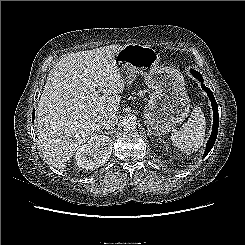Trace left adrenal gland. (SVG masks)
I'll return each mask as SVG.
<instances>
[{
	"label": "left adrenal gland",
	"instance_id": "left-adrenal-gland-1",
	"mask_svg": "<svg viewBox=\"0 0 245 245\" xmlns=\"http://www.w3.org/2000/svg\"><path fill=\"white\" fill-rule=\"evenodd\" d=\"M147 132L150 133V129H149V126L147 125Z\"/></svg>",
	"mask_w": 245,
	"mask_h": 245
}]
</instances>
